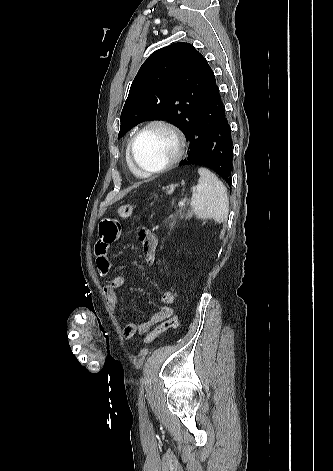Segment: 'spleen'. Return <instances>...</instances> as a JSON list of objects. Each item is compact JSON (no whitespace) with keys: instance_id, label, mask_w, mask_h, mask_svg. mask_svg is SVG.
Here are the masks:
<instances>
[{"instance_id":"spleen-1","label":"spleen","mask_w":333,"mask_h":471,"mask_svg":"<svg viewBox=\"0 0 333 471\" xmlns=\"http://www.w3.org/2000/svg\"><path fill=\"white\" fill-rule=\"evenodd\" d=\"M200 178L191 197V208L199 219H213L217 223L227 220L229 201L224 184L210 170L200 167Z\"/></svg>"}]
</instances>
